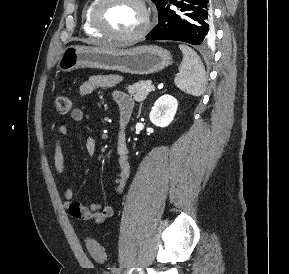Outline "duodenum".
<instances>
[{
	"label": "duodenum",
	"mask_w": 289,
	"mask_h": 274,
	"mask_svg": "<svg viewBox=\"0 0 289 274\" xmlns=\"http://www.w3.org/2000/svg\"><path fill=\"white\" fill-rule=\"evenodd\" d=\"M131 115L128 112H122L120 114V128L121 130H124L126 125L128 124L130 120Z\"/></svg>",
	"instance_id": "410a0bca"
}]
</instances>
